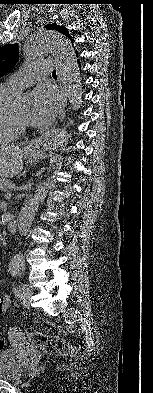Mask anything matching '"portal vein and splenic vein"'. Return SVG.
Masks as SVG:
<instances>
[{
    "label": "portal vein and splenic vein",
    "mask_w": 153,
    "mask_h": 393,
    "mask_svg": "<svg viewBox=\"0 0 153 393\" xmlns=\"http://www.w3.org/2000/svg\"><path fill=\"white\" fill-rule=\"evenodd\" d=\"M13 186V185H12ZM12 186H11V188H12ZM11 196V194L10 193H7L6 194V197H10Z\"/></svg>",
    "instance_id": "obj_1"
}]
</instances>
